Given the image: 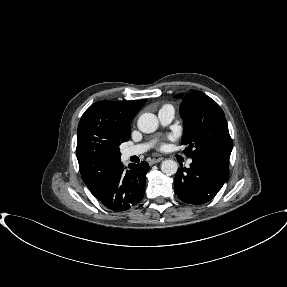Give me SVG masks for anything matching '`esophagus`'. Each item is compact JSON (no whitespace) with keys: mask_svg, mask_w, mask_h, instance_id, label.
Here are the masks:
<instances>
[{"mask_svg":"<svg viewBox=\"0 0 287 287\" xmlns=\"http://www.w3.org/2000/svg\"><path fill=\"white\" fill-rule=\"evenodd\" d=\"M162 160H163L162 157L152 158V159L149 160V164L153 165V164L161 162Z\"/></svg>","mask_w":287,"mask_h":287,"instance_id":"obj_1","label":"esophagus"}]
</instances>
